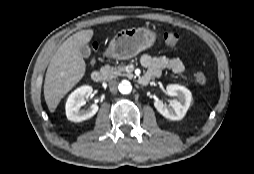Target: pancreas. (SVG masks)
<instances>
[{"label":"pancreas","mask_w":254,"mask_h":174,"mask_svg":"<svg viewBox=\"0 0 254 174\" xmlns=\"http://www.w3.org/2000/svg\"><path fill=\"white\" fill-rule=\"evenodd\" d=\"M101 72L104 73L106 78L108 79H113L118 76L132 77V74L126 71V66L124 64L119 65L117 67L105 65L104 67L101 68Z\"/></svg>","instance_id":"pancreas-1"}]
</instances>
